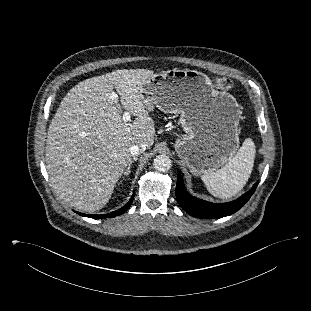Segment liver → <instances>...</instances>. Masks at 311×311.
I'll use <instances>...</instances> for the list:
<instances>
[{
  "label": "liver",
  "instance_id": "liver-1",
  "mask_svg": "<svg viewBox=\"0 0 311 311\" xmlns=\"http://www.w3.org/2000/svg\"><path fill=\"white\" fill-rule=\"evenodd\" d=\"M154 75L148 69H122L86 79L63 98L47 132L45 160L54 189L85 212L103 208L130 163L132 145L154 143L155 127L143 96ZM122 108L136 116L125 122Z\"/></svg>",
  "mask_w": 311,
  "mask_h": 311
}]
</instances>
